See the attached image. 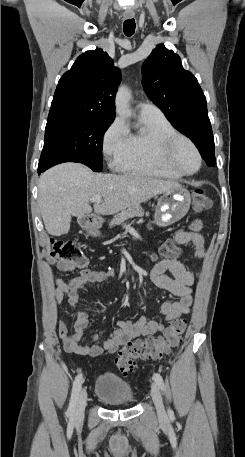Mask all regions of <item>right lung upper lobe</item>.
<instances>
[{
    "label": "right lung upper lobe",
    "mask_w": 245,
    "mask_h": 457,
    "mask_svg": "<svg viewBox=\"0 0 245 457\" xmlns=\"http://www.w3.org/2000/svg\"><path fill=\"white\" fill-rule=\"evenodd\" d=\"M120 70L102 49L86 51L59 80L50 113L76 112L115 118Z\"/></svg>",
    "instance_id": "right-lung-upper-lobe-1"
}]
</instances>
